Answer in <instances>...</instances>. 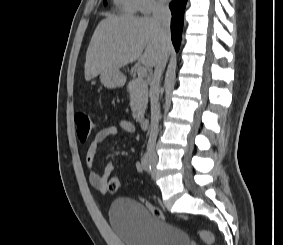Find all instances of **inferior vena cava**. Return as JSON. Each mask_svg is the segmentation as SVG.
Returning <instances> with one entry per match:
<instances>
[{"instance_id":"inferior-vena-cava-1","label":"inferior vena cava","mask_w":283,"mask_h":245,"mask_svg":"<svg viewBox=\"0 0 283 245\" xmlns=\"http://www.w3.org/2000/svg\"><path fill=\"white\" fill-rule=\"evenodd\" d=\"M152 19L161 29L163 44L171 42L170 37V20L171 12L167 5L162 1L154 3ZM168 60L167 53L164 54L162 60L155 67L154 75L150 84V104H151V130L147 143V153L150 158L156 159L155 144L158 134V125L160 119L159 106V86L160 78Z\"/></svg>"}]
</instances>
